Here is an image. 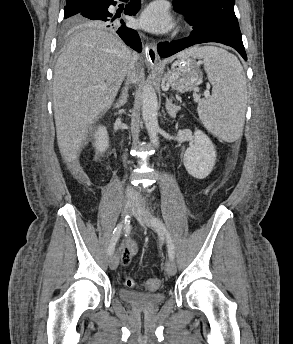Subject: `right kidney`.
Listing matches in <instances>:
<instances>
[{
  "mask_svg": "<svg viewBox=\"0 0 293 344\" xmlns=\"http://www.w3.org/2000/svg\"><path fill=\"white\" fill-rule=\"evenodd\" d=\"M95 142L93 147L96 150V154H102L109 146L108 131L105 126H99L94 133Z\"/></svg>",
  "mask_w": 293,
  "mask_h": 344,
  "instance_id": "1",
  "label": "right kidney"
}]
</instances>
